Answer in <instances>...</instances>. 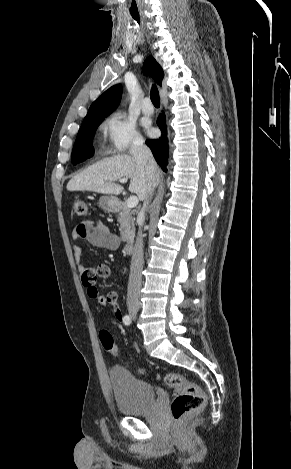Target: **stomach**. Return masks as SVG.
I'll list each match as a JSON object with an SVG mask.
<instances>
[{"label": "stomach", "mask_w": 291, "mask_h": 469, "mask_svg": "<svg viewBox=\"0 0 291 469\" xmlns=\"http://www.w3.org/2000/svg\"><path fill=\"white\" fill-rule=\"evenodd\" d=\"M98 204L103 210L114 212L117 209L118 199L114 196H102Z\"/></svg>", "instance_id": "1"}]
</instances>
